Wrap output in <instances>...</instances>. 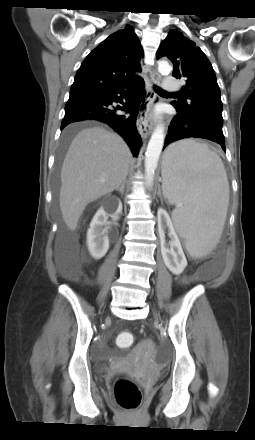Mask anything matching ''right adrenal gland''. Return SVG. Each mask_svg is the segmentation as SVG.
Returning a JSON list of instances; mask_svg holds the SVG:
<instances>
[{
	"label": "right adrenal gland",
	"instance_id": "right-adrenal-gland-1",
	"mask_svg": "<svg viewBox=\"0 0 255 440\" xmlns=\"http://www.w3.org/2000/svg\"><path fill=\"white\" fill-rule=\"evenodd\" d=\"M125 186H126V181H124V182L121 184V186L118 187V188L116 189V191H119V192L121 193V195H123V194H124V191H125Z\"/></svg>",
	"mask_w": 255,
	"mask_h": 440
}]
</instances>
